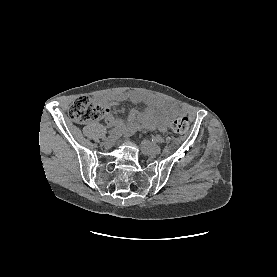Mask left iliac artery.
<instances>
[{
  "label": "left iliac artery",
  "mask_w": 277,
  "mask_h": 277,
  "mask_svg": "<svg viewBox=\"0 0 277 277\" xmlns=\"http://www.w3.org/2000/svg\"><path fill=\"white\" fill-rule=\"evenodd\" d=\"M153 140L158 142V143H163L164 142L163 137H161L160 135H156L155 137H153Z\"/></svg>",
  "instance_id": "left-iliac-artery-1"
}]
</instances>
